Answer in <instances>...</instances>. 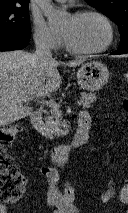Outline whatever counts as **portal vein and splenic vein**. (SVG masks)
Returning <instances> with one entry per match:
<instances>
[{
    "label": "portal vein and splenic vein",
    "mask_w": 128,
    "mask_h": 213,
    "mask_svg": "<svg viewBox=\"0 0 128 213\" xmlns=\"http://www.w3.org/2000/svg\"><path fill=\"white\" fill-rule=\"evenodd\" d=\"M41 103L52 108V109H58L60 107V105L58 103H56L52 100H45V101L43 100V101H41ZM77 103L79 104L80 101H77Z\"/></svg>",
    "instance_id": "1"
}]
</instances>
